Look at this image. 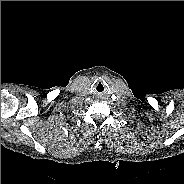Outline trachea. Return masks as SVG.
Wrapping results in <instances>:
<instances>
[{"mask_svg":"<svg viewBox=\"0 0 184 184\" xmlns=\"http://www.w3.org/2000/svg\"><path fill=\"white\" fill-rule=\"evenodd\" d=\"M106 90V86L103 82L99 81V82H96L95 86H94V91L97 93V94H103Z\"/></svg>","mask_w":184,"mask_h":184,"instance_id":"1","label":"trachea"}]
</instances>
